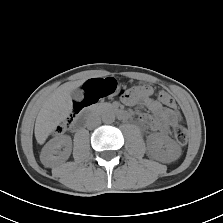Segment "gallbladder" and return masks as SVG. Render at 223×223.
Segmentation results:
<instances>
[{"label": "gallbladder", "mask_w": 223, "mask_h": 223, "mask_svg": "<svg viewBox=\"0 0 223 223\" xmlns=\"http://www.w3.org/2000/svg\"><path fill=\"white\" fill-rule=\"evenodd\" d=\"M71 96L76 100H81L83 98V91L80 89H74L71 91Z\"/></svg>", "instance_id": "bac80fb5"}]
</instances>
